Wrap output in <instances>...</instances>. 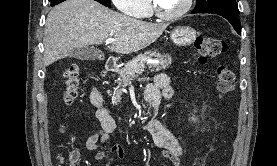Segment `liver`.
<instances>
[{"instance_id":"liver-1","label":"liver","mask_w":277,"mask_h":166,"mask_svg":"<svg viewBox=\"0 0 277 166\" xmlns=\"http://www.w3.org/2000/svg\"><path fill=\"white\" fill-rule=\"evenodd\" d=\"M168 27L148 23L115 12L95 0H66L47 16L44 37V65L64 59L74 49L99 45L115 39L110 51L130 54L155 42Z\"/></svg>"}]
</instances>
